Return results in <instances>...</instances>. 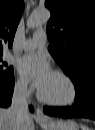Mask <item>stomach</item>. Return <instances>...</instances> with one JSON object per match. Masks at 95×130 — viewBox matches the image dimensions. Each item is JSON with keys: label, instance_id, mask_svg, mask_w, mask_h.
<instances>
[{"label": "stomach", "instance_id": "1", "mask_svg": "<svg viewBox=\"0 0 95 130\" xmlns=\"http://www.w3.org/2000/svg\"><path fill=\"white\" fill-rule=\"evenodd\" d=\"M41 126L44 130H79L73 120H50L46 124L41 123Z\"/></svg>", "mask_w": 95, "mask_h": 130}]
</instances>
